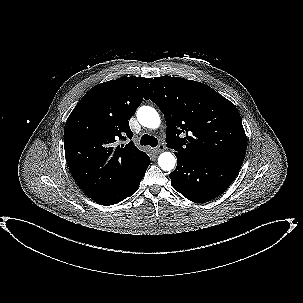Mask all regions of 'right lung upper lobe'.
I'll return each mask as SVG.
<instances>
[{"label": "right lung upper lobe", "mask_w": 303, "mask_h": 303, "mask_svg": "<svg viewBox=\"0 0 303 303\" xmlns=\"http://www.w3.org/2000/svg\"><path fill=\"white\" fill-rule=\"evenodd\" d=\"M151 78L123 76L91 88L68 117L65 157L78 186L91 199L126 183L149 156L136 148L129 119L143 100Z\"/></svg>", "instance_id": "cb5924a9"}]
</instances>
